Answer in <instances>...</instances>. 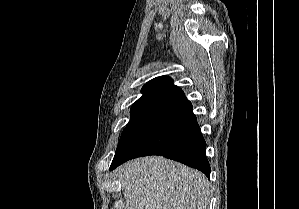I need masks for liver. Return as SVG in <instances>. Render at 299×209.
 Segmentation results:
<instances>
[{"label": "liver", "instance_id": "6515ba94", "mask_svg": "<svg viewBox=\"0 0 299 209\" xmlns=\"http://www.w3.org/2000/svg\"><path fill=\"white\" fill-rule=\"evenodd\" d=\"M125 209H208L210 184L199 171L159 156L126 162L117 170Z\"/></svg>", "mask_w": 299, "mask_h": 209}]
</instances>
